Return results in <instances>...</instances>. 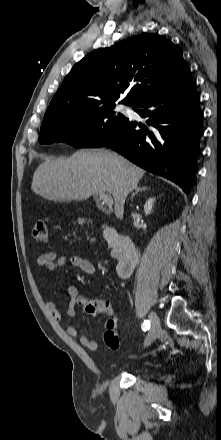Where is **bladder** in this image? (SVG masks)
Returning a JSON list of instances; mask_svg holds the SVG:
<instances>
[{
	"label": "bladder",
	"instance_id": "31cf9c89",
	"mask_svg": "<svg viewBox=\"0 0 221 440\" xmlns=\"http://www.w3.org/2000/svg\"><path fill=\"white\" fill-rule=\"evenodd\" d=\"M147 369H148V366H146V365H140V366H137L135 370H136L137 373H143V372H145Z\"/></svg>",
	"mask_w": 221,
	"mask_h": 440
}]
</instances>
